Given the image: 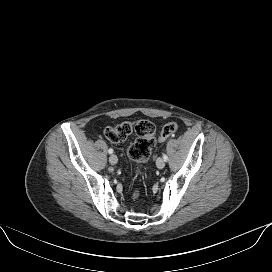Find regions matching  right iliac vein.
I'll return each instance as SVG.
<instances>
[{"label": "right iliac vein", "instance_id": "obj_1", "mask_svg": "<svg viewBox=\"0 0 272 272\" xmlns=\"http://www.w3.org/2000/svg\"><path fill=\"white\" fill-rule=\"evenodd\" d=\"M109 162H110L112 165L117 164V162H118L117 156L114 155V154H112V155L109 157Z\"/></svg>", "mask_w": 272, "mask_h": 272}]
</instances>
